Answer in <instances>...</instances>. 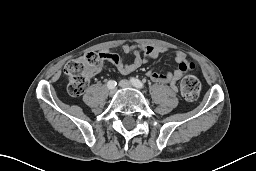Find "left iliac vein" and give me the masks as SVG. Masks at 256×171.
<instances>
[{
	"label": "left iliac vein",
	"mask_w": 256,
	"mask_h": 171,
	"mask_svg": "<svg viewBox=\"0 0 256 171\" xmlns=\"http://www.w3.org/2000/svg\"><path fill=\"white\" fill-rule=\"evenodd\" d=\"M119 86L122 88H131L132 87V83L128 80H121L119 82Z\"/></svg>",
	"instance_id": "obj_1"
}]
</instances>
